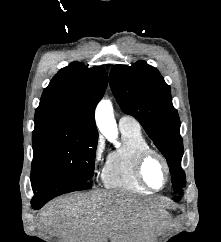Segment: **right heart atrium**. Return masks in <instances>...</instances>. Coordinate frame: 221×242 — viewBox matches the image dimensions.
I'll use <instances>...</instances> for the list:
<instances>
[{
    "mask_svg": "<svg viewBox=\"0 0 221 242\" xmlns=\"http://www.w3.org/2000/svg\"><path fill=\"white\" fill-rule=\"evenodd\" d=\"M104 152V142L101 138H97L92 150V162L94 164L99 163Z\"/></svg>",
    "mask_w": 221,
    "mask_h": 242,
    "instance_id": "right-heart-atrium-1",
    "label": "right heart atrium"
}]
</instances>
